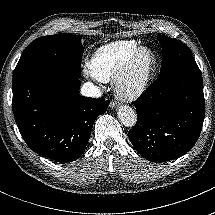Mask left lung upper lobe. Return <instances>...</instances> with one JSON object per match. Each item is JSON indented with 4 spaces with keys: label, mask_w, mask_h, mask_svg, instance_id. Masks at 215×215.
<instances>
[{
    "label": "left lung upper lobe",
    "mask_w": 215,
    "mask_h": 215,
    "mask_svg": "<svg viewBox=\"0 0 215 215\" xmlns=\"http://www.w3.org/2000/svg\"><path fill=\"white\" fill-rule=\"evenodd\" d=\"M164 53L160 75L184 64L195 63L189 47L180 40L165 36L158 37Z\"/></svg>",
    "instance_id": "5c2ea615"
}]
</instances>
